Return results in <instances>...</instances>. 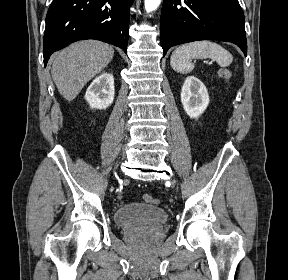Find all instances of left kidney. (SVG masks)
<instances>
[{"instance_id": "left-kidney-1", "label": "left kidney", "mask_w": 288, "mask_h": 280, "mask_svg": "<svg viewBox=\"0 0 288 280\" xmlns=\"http://www.w3.org/2000/svg\"><path fill=\"white\" fill-rule=\"evenodd\" d=\"M181 102L190 118H198L209 104V95L205 85L194 76L184 81L181 90Z\"/></svg>"}]
</instances>
